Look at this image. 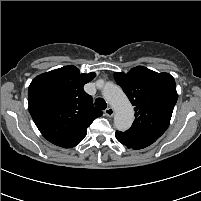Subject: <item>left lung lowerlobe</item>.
Masks as SVG:
<instances>
[{"label":"left lung lower lobe","instance_id":"0a47b994","mask_svg":"<svg viewBox=\"0 0 201 201\" xmlns=\"http://www.w3.org/2000/svg\"><path fill=\"white\" fill-rule=\"evenodd\" d=\"M115 136L120 143L127 146V148H131L134 150L143 149L151 145L158 139L157 137L153 136L131 134L120 131H116Z\"/></svg>","mask_w":201,"mask_h":201}]
</instances>
